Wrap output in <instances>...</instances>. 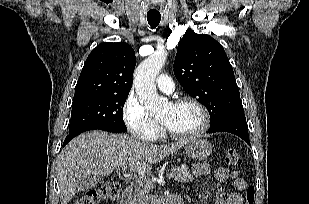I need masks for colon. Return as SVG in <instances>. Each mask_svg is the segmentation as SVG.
Instances as JSON below:
<instances>
[{"mask_svg": "<svg viewBox=\"0 0 309 204\" xmlns=\"http://www.w3.org/2000/svg\"><path fill=\"white\" fill-rule=\"evenodd\" d=\"M225 161L230 166H241L242 158L239 152L228 148ZM121 186L117 182H105L83 193L73 204H99L101 201L116 200L120 194ZM255 189L249 186L246 189V203L254 204Z\"/></svg>", "mask_w": 309, "mask_h": 204, "instance_id": "5ec220e1", "label": "colon"}]
</instances>
